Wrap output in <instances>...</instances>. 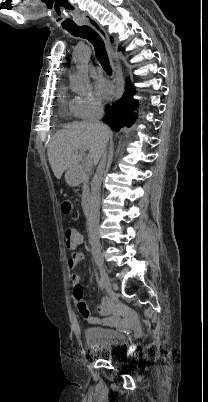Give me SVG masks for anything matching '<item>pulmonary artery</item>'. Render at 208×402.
<instances>
[{
  "label": "pulmonary artery",
  "mask_w": 208,
  "mask_h": 402,
  "mask_svg": "<svg viewBox=\"0 0 208 402\" xmlns=\"http://www.w3.org/2000/svg\"><path fill=\"white\" fill-rule=\"evenodd\" d=\"M83 49L80 50L79 54H82ZM90 73L96 74L98 73L99 75H102L104 73V70L102 68L97 69L96 67L92 66L89 69Z\"/></svg>",
  "instance_id": "obj_1"
}]
</instances>
